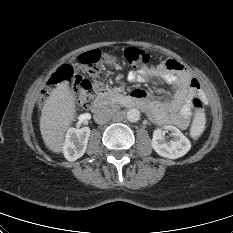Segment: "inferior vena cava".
<instances>
[{
    "label": "inferior vena cava",
    "mask_w": 233,
    "mask_h": 233,
    "mask_svg": "<svg viewBox=\"0 0 233 233\" xmlns=\"http://www.w3.org/2000/svg\"><path fill=\"white\" fill-rule=\"evenodd\" d=\"M114 113L112 109L107 105H102L95 109L94 120L97 124H106L113 117Z\"/></svg>",
    "instance_id": "602c4592"
}]
</instances>
